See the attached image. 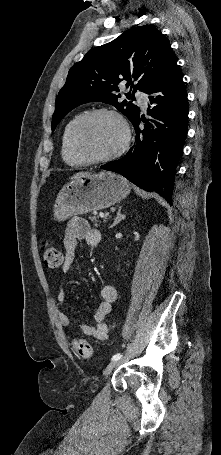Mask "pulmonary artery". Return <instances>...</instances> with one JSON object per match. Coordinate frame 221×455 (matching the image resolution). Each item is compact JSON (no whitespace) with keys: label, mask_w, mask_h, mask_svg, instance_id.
I'll list each match as a JSON object with an SVG mask.
<instances>
[{"label":"pulmonary artery","mask_w":221,"mask_h":455,"mask_svg":"<svg viewBox=\"0 0 221 455\" xmlns=\"http://www.w3.org/2000/svg\"><path fill=\"white\" fill-rule=\"evenodd\" d=\"M136 95H139V92H136ZM144 100H145V99H144ZM141 103H142L143 106L146 105V102H145V101H143V102H141Z\"/></svg>","instance_id":"obj_1"}]
</instances>
